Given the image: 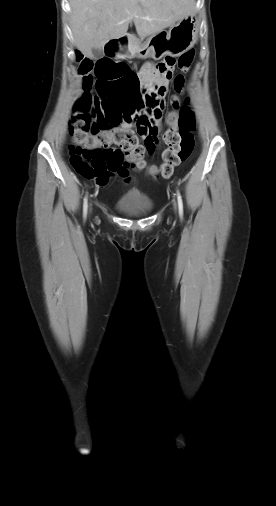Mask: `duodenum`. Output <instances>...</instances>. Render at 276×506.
Instances as JSON below:
<instances>
[{"mask_svg": "<svg viewBox=\"0 0 276 506\" xmlns=\"http://www.w3.org/2000/svg\"><path fill=\"white\" fill-rule=\"evenodd\" d=\"M126 35H119L110 39L102 50L103 58H132L134 51L129 45H126Z\"/></svg>", "mask_w": 276, "mask_h": 506, "instance_id": "1", "label": "duodenum"}]
</instances>
